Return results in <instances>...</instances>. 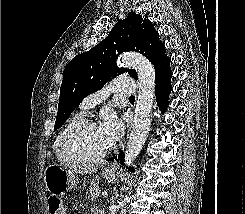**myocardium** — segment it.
Masks as SVG:
<instances>
[{
    "mask_svg": "<svg viewBox=\"0 0 245 214\" xmlns=\"http://www.w3.org/2000/svg\"><path fill=\"white\" fill-rule=\"evenodd\" d=\"M89 126H97V123L92 119H82L66 133L63 139L62 149L64 154L76 163H98L105 159L110 152V150L107 149L106 151L97 156H86L79 152L75 145L76 138L82 130Z\"/></svg>",
    "mask_w": 245,
    "mask_h": 214,
    "instance_id": "f54148a6",
    "label": "myocardium"
}]
</instances>
